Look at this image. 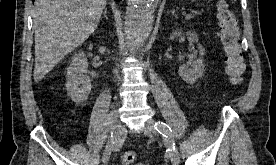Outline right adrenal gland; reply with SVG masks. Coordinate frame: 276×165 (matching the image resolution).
Returning <instances> with one entry per match:
<instances>
[{"label":"right adrenal gland","mask_w":276,"mask_h":165,"mask_svg":"<svg viewBox=\"0 0 276 165\" xmlns=\"http://www.w3.org/2000/svg\"><path fill=\"white\" fill-rule=\"evenodd\" d=\"M102 18L108 19V17H107V9L106 8H105V10L103 12V17Z\"/></svg>","instance_id":"1"}]
</instances>
